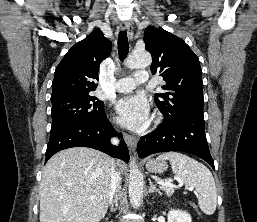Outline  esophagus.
<instances>
[{"instance_id":"obj_1","label":"esophagus","mask_w":257,"mask_h":222,"mask_svg":"<svg viewBox=\"0 0 257 222\" xmlns=\"http://www.w3.org/2000/svg\"><path fill=\"white\" fill-rule=\"evenodd\" d=\"M120 28L125 29L129 35V38L132 39L133 37V28L129 22H121L120 23ZM123 138L128 145V147L134 151L137 145V139L136 137L129 135L127 133H124Z\"/></svg>"}]
</instances>
